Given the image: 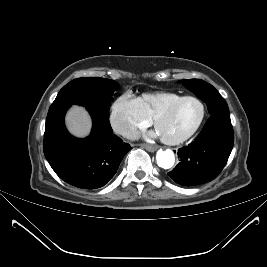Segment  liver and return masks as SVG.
I'll return each mask as SVG.
<instances>
[{
    "instance_id": "liver-1",
    "label": "liver",
    "mask_w": 267,
    "mask_h": 267,
    "mask_svg": "<svg viewBox=\"0 0 267 267\" xmlns=\"http://www.w3.org/2000/svg\"><path fill=\"white\" fill-rule=\"evenodd\" d=\"M65 122L69 132L76 137L83 138L90 133L92 120L84 107H71L67 112Z\"/></svg>"
}]
</instances>
